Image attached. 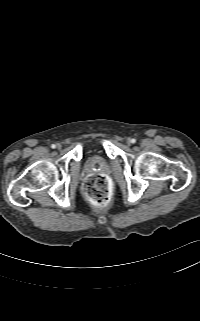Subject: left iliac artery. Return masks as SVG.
Instances as JSON below:
<instances>
[{"mask_svg":"<svg viewBox=\"0 0 200 321\" xmlns=\"http://www.w3.org/2000/svg\"><path fill=\"white\" fill-rule=\"evenodd\" d=\"M132 143H135L136 142V139H131Z\"/></svg>","mask_w":200,"mask_h":321,"instance_id":"left-iliac-artery-1","label":"left iliac artery"}]
</instances>
